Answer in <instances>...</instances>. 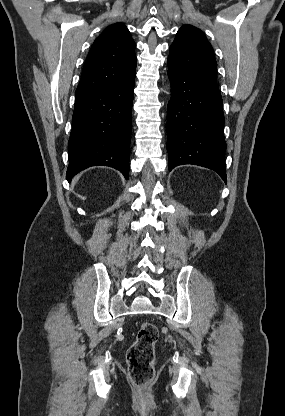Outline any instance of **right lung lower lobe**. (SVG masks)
Here are the masks:
<instances>
[{"instance_id": "right-lung-lower-lobe-1", "label": "right lung lower lobe", "mask_w": 285, "mask_h": 416, "mask_svg": "<svg viewBox=\"0 0 285 416\" xmlns=\"http://www.w3.org/2000/svg\"><path fill=\"white\" fill-rule=\"evenodd\" d=\"M134 83L135 73L104 91L75 99L68 181L95 165L116 168L128 179Z\"/></svg>"}]
</instances>
